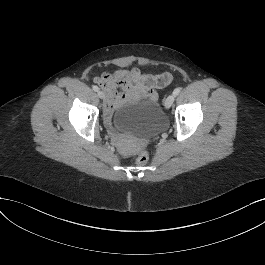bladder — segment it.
Returning <instances> with one entry per match:
<instances>
[{
    "instance_id": "bladder-1",
    "label": "bladder",
    "mask_w": 265,
    "mask_h": 265,
    "mask_svg": "<svg viewBox=\"0 0 265 265\" xmlns=\"http://www.w3.org/2000/svg\"><path fill=\"white\" fill-rule=\"evenodd\" d=\"M166 125V116L156 101H144L122 106L115 115V129L138 137H149Z\"/></svg>"
}]
</instances>
